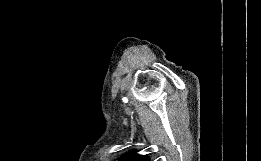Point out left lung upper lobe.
<instances>
[{"mask_svg":"<svg viewBox=\"0 0 261 161\" xmlns=\"http://www.w3.org/2000/svg\"><path fill=\"white\" fill-rule=\"evenodd\" d=\"M119 161H150V159L147 156L136 154V151H130L122 156Z\"/></svg>","mask_w":261,"mask_h":161,"instance_id":"obj_1","label":"left lung upper lobe"}]
</instances>
